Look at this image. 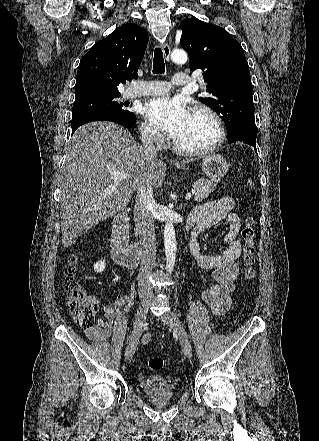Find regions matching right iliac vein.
<instances>
[{"mask_svg": "<svg viewBox=\"0 0 319 441\" xmlns=\"http://www.w3.org/2000/svg\"><path fill=\"white\" fill-rule=\"evenodd\" d=\"M148 306H149L148 300H144L140 303L138 307L132 336L125 352V357L127 360H130L135 353L137 344L139 342V338L143 330L145 320L147 318Z\"/></svg>", "mask_w": 319, "mask_h": 441, "instance_id": "63e3f726", "label": "right iliac vein"}]
</instances>
